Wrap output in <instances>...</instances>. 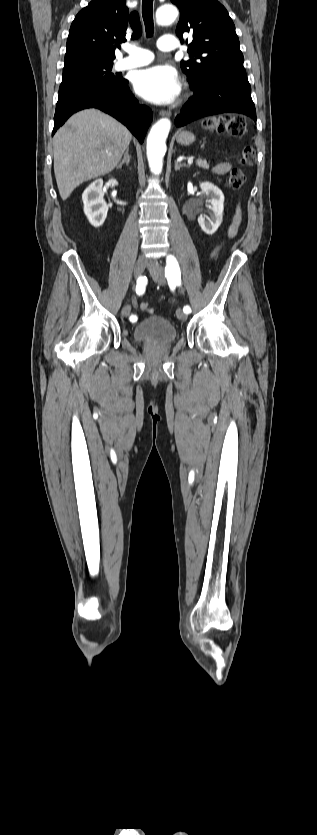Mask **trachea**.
Here are the masks:
<instances>
[{
	"mask_svg": "<svg viewBox=\"0 0 317 835\" xmlns=\"http://www.w3.org/2000/svg\"><path fill=\"white\" fill-rule=\"evenodd\" d=\"M142 16L146 29V36L151 37L154 32L153 0H142Z\"/></svg>",
	"mask_w": 317,
	"mask_h": 835,
	"instance_id": "trachea-1",
	"label": "trachea"
}]
</instances>
